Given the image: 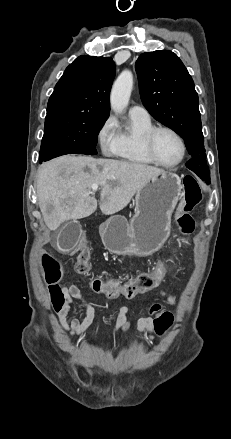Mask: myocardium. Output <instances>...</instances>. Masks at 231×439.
I'll return each instance as SVG.
<instances>
[{"label":"myocardium","instance_id":"obj_1","mask_svg":"<svg viewBox=\"0 0 231 439\" xmlns=\"http://www.w3.org/2000/svg\"><path fill=\"white\" fill-rule=\"evenodd\" d=\"M161 131H166L171 133L173 136L176 137V139L179 141L180 146H181V156L180 158L172 163V164H167L162 162L156 155L155 152V148H154V140L156 135L161 132ZM142 145H143V149L146 153V155L148 156V158L156 165L161 166L163 168H175L178 165H180L186 156V152H187V147H186V143L185 140L183 139V137L180 135V133L178 131H176L175 129H173L172 127L169 126H153L150 130H148L142 138Z\"/></svg>","mask_w":231,"mask_h":439}]
</instances>
